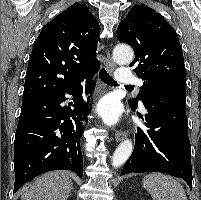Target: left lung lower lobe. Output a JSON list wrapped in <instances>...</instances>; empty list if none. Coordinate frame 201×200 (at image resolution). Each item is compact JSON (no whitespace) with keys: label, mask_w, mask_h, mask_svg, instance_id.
<instances>
[{"label":"left lung lower lobe","mask_w":201,"mask_h":200,"mask_svg":"<svg viewBox=\"0 0 201 200\" xmlns=\"http://www.w3.org/2000/svg\"><path fill=\"white\" fill-rule=\"evenodd\" d=\"M143 104L148 112L145 125L149 129L146 132L138 129L133 153L121 175L132 172L167 173L184 179L191 189V145L185 113L186 92H155L148 95Z\"/></svg>","instance_id":"1"}]
</instances>
